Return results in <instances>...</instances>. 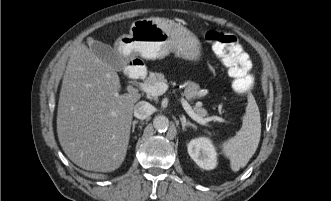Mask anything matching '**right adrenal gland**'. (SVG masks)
I'll use <instances>...</instances> for the list:
<instances>
[{
  "mask_svg": "<svg viewBox=\"0 0 331 201\" xmlns=\"http://www.w3.org/2000/svg\"><path fill=\"white\" fill-rule=\"evenodd\" d=\"M138 122H139L138 120H134V121L132 122V133L135 131V126H136V124H137Z\"/></svg>",
  "mask_w": 331,
  "mask_h": 201,
  "instance_id": "right-adrenal-gland-1",
  "label": "right adrenal gland"
}]
</instances>
